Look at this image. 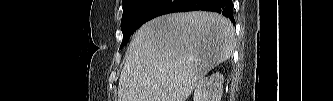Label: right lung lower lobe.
<instances>
[{
	"mask_svg": "<svg viewBox=\"0 0 333 101\" xmlns=\"http://www.w3.org/2000/svg\"><path fill=\"white\" fill-rule=\"evenodd\" d=\"M194 10L223 14L235 24L232 0H150L139 14L135 27L138 29L147 21L164 14Z\"/></svg>",
	"mask_w": 333,
	"mask_h": 101,
	"instance_id": "1",
	"label": "right lung lower lobe"
}]
</instances>
